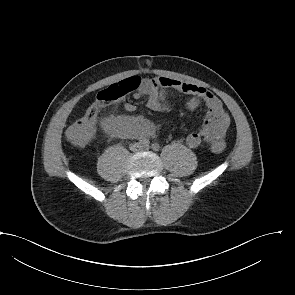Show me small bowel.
<instances>
[{"instance_id": "c3829d8e", "label": "small bowel", "mask_w": 295, "mask_h": 295, "mask_svg": "<svg viewBox=\"0 0 295 295\" xmlns=\"http://www.w3.org/2000/svg\"><path fill=\"white\" fill-rule=\"evenodd\" d=\"M175 90L189 95L185 103L186 108L194 110L202 103L206 107V116L201 127L191 132L186 143L191 148H196L203 142L211 144L216 140H224L231 118L225 110L221 100L208 89L195 84L168 77H155L141 79L139 89L134 93V98L147 96V107L153 111H165L169 108L167 91ZM124 109L134 112L136 106L125 103ZM105 128L114 136L120 138H136L153 133L150 123L141 116H112L104 120Z\"/></svg>"}]
</instances>
